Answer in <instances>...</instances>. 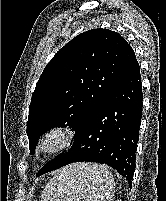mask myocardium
Here are the masks:
<instances>
[{
  "instance_id": "1",
  "label": "myocardium",
  "mask_w": 166,
  "mask_h": 201,
  "mask_svg": "<svg viewBox=\"0 0 166 201\" xmlns=\"http://www.w3.org/2000/svg\"><path fill=\"white\" fill-rule=\"evenodd\" d=\"M73 141L72 131L61 125L47 129L40 137L37 145V153L42 156H50L65 151Z\"/></svg>"
}]
</instances>
